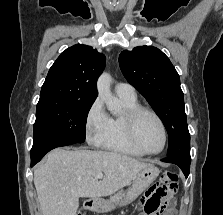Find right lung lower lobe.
<instances>
[{"instance_id":"1","label":"right lung lower lobe","mask_w":223,"mask_h":215,"mask_svg":"<svg viewBox=\"0 0 223 215\" xmlns=\"http://www.w3.org/2000/svg\"><path fill=\"white\" fill-rule=\"evenodd\" d=\"M72 144H75V143H72ZM72 144H66V145H57V146H51V147H48V148H45L43 150H40V151H37V152H31L30 155H31V167L34 166L37 162H39L42 157L48 153L50 150L54 149V148H57V147H61V146H67V145H72Z\"/></svg>"}]
</instances>
